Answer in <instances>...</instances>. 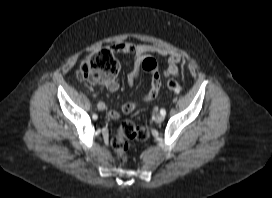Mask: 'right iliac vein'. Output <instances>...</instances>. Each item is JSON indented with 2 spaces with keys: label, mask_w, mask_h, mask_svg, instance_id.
<instances>
[{
  "label": "right iliac vein",
  "mask_w": 272,
  "mask_h": 198,
  "mask_svg": "<svg viewBox=\"0 0 272 198\" xmlns=\"http://www.w3.org/2000/svg\"><path fill=\"white\" fill-rule=\"evenodd\" d=\"M98 108H99L100 110H103V109L105 108V106H103V107L98 106Z\"/></svg>",
  "instance_id": "right-iliac-vein-1"
}]
</instances>
